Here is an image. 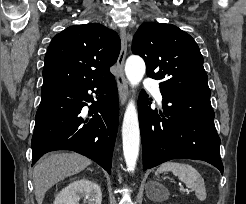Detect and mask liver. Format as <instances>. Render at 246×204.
I'll return each mask as SVG.
<instances>
[{"mask_svg": "<svg viewBox=\"0 0 246 204\" xmlns=\"http://www.w3.org/2000/svg\"><path fill=\"white\" fill-rule=\"evenodd\" d=\"M91 160L78 153H52L37 163L33 171L37 204H42L46 191L64 178L74 175L91 164Z\"/></svg>", "mask_w": 246, "mask_h": 204, "instance_id": "liver-1", "label": "liver"}]
</instances>
